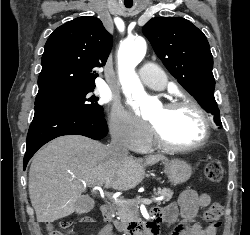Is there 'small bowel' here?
Wrapping results in <instances>:
<instances>
[{
	"label": "small bowel",
	"mask_w": 250,
	"mask_h": 235,
	"mask_svg": "<svg viewBox=\"0 0 250 235\" xmlns=\"http://www.w3.org/2000/svg\"><path fill=\"white\" fill-rule=\"evenodd\" d=\"M211 198L207 193H197L194 190L184 191L177 202L169 204L165 209H155L160 222L172 223L179 213L184 216V221L173 228L170 235H216V228L209 225L201 226L191 219L199 210L207 207Z\"/></svg>",
	"instance_id": "c3829d8e"
}]
</instances>
